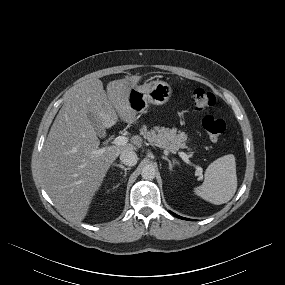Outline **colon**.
I'll return each mask as SVG.
<instances>
[{"mask_svg": "<svg viewBox=\"0 0 285 285\" xmlns=\"http://www.w3.org/2000/svg\"><path fill=\"white\" fill-rule=\"evenodd\" d=\"M192 102L195 110L204 111L215 105L216 98L211 92L197 88L192 93ZM202 126L212 142H217L226 129L225 122L212 115H205L203 117Z\"/></svg>", "mask_w": 285, "mask_h": 285, "instance_id": "5ec220e1", "label": "colon"}]
</instances>
